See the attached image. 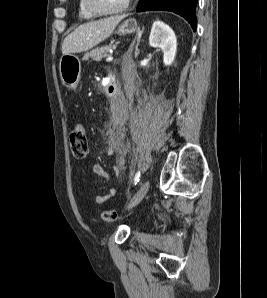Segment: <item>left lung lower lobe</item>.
<instances>
[{
	"label": "left lung lower lobe",
	"mask_w": 267,
	"mask_h": 298,
	"mask_svg": "<svg viewBox=\"0 0 267 298\" xmlns=\"http://www.w3.org/2000/svg\"><path fill=\"white\" fill-rule=\"evenodd\" d=\"M198 0H140L137 5V11L166 10L172 11L184 17L196 30L195 8Z\"/></svg>",
	"instance_id": "left-lung-lower-lobe-1"
}]
</instances>
